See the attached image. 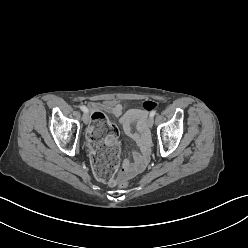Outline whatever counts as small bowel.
I'll use <instances>...</instances> for the list:
<instances>
[{
    "label": "small bowel",
    "mask_w": 248,
    "mask_h": 248,
    "mask_svg": "<svg viewBox=\"0 0 248 248\" xmlns=\"http://www.w3.org/2000/svg\"><path fill=\"white\" fill-rule=\"evenodd\" d=\"M89 108L94 112L96 110H104L115 117L119 118V124L123 133L135 141L139 147V151L132 153L134 162L129 159L123 161L121 176L132 177L143 170L147 163L149 155V139L147 133V113L139 109H129L124 111L122 104L113 101L104 103H90ZM136 125L137 132L132 131V125ZM108 141L114 143L115 136H110Z\"/></svg>",
    "instance_id": "obj_1"
}]
</instances>
